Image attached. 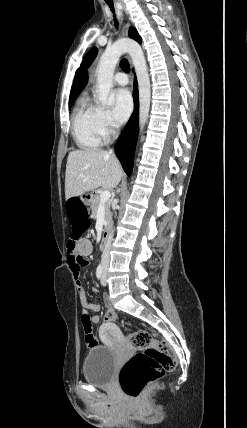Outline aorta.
<instances>
[{"instance_id":"1","label":"aorta","mask_w":247,"mask_h":428,"mask_svg":"<svg viewBox=\"0 0 247 428\" xmlns=\"http://www.w3.org/2000/svg\"><path fill=\"white\" fill-rule=\"evenodd\" d=\"M123 49L113 45L105 50L102 54L97 66V101L105 106L112 103L113 99L110 96L112 87V78L116 64L122 55ZM132 59L138 82L139 91V125L142 130L148 117L150 108V79L147 71L144 54L139 47L128 49Z\"/></svg>"}]
</instances>
